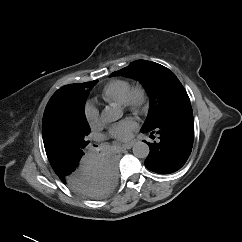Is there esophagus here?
<instances>
[{
	"instance_id": "34e87169",
	"label": "esophagus",
	"mask_w": 242,
	"mask_h": 242,
	"mask_svg": "<svg viewBox=\"0 0 242 242\" xmlns=\"http://www.w3.org/2000/svg\"><path fill=\"white\" fill-rule=\"evenodd\" d=\"M132 146H133V143L131 142V143L123 144L121 146V148H122V151H124V150H127V149H131Z\"/></svg>"
}]
</instances>
